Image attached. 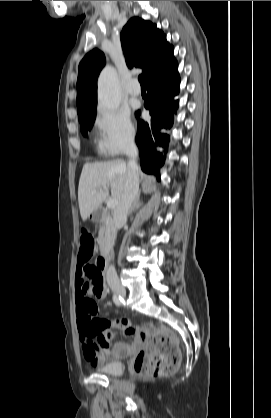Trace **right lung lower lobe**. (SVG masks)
Listing matches in <instances>:
<instances>
[{
    "instance_id": "obj_1",
    "label": "right lung lower lobe",
    "mask_w": 271,
    "mask_h": 418,
    "mask_svg": "<svg viewBox=\"0 0 271 418\" xmlns=\"http://www.w3.org/2000/svg\"><path fill=\"white\" fill-rule=\"evenodd\" d=\"M145 81L148 94L144 105L150 110L152 118L150 122H144L140 120V111L136 112L138 120L136 143L140 151L142 170L159 179V167L164 164V158L155 147L160 145L167 148L169 136L161 134L160 129L171 127L173 113L178 108V100H173V97L179 93L180 85L177 61L174 59Z\"/></svg>"
}]
</instances>
